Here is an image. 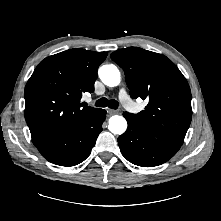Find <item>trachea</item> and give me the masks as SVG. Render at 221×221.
Segmentation results:
<instances>
[{
    "label": "trachea",
    "instance_id": "trachea-1",
    "mask_svg": "<svg viewBox=\"0 0 221 221\" xmlns=\"http://www.w3.org/2000/svg\"><path fill=\"white\" fill-rule=\"evenodd\" d=\"M95 105L97 107H107L108 106L111 109H117L119 106L118 102L115 99L108 100L105 97H102L99 100H97Z\"/></svg>",
    "mask_w": 221,
    "mask_h": 221
}]
</instances>
